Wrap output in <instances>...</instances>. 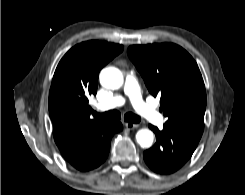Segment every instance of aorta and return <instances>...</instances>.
<instances>
[{
	"mask_svg": "<svg viewBox=\"0 0 245 195\" xmlns=\"http://www.w3.org/2000/svg\"><path fill=\"white\" fill-rule=\"evenodd\" d=\"M99 79L103 87L112 90L119 89L124 82L121 71L115 67L104 68L100 73ZM136 140L142 148H150L154 140V135L148 129H140L136 133Z\"/></svg>",
	"mask_w": 245,
	"mask_h": 195,
	"instance_id": "aorta-1",
	"label": "aorta"
}]
</instances>
